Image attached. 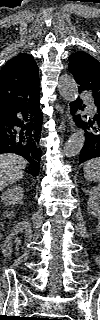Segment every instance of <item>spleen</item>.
I'll return each mask as SVG.
<instances>
[{"label": "spleen", "mask_w": 100, "mask_h": 320, "mask_svg": "<svg viewBox=\"0 0 100 320\" xmlns=\"http://www.w3.org/2000/svg\"><path fill=\"white\" fill-rule=\"evenodd\" d=\"M84 178L91 182L100 181V159L94 158L84 164Z\"/></svg>", "instance_id": "spleen-1"}]
</instances>
